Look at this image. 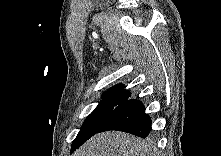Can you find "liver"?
Wrapping results in <instances>:
<instances>
[{
	"instance_id": "6515ba94",
	"label": "liver",
	"mask_w": 221,
	"mask_h": 156,
	"mask_svg": "<svg viewBox=\"0 0 221 156\" xmlns=\"http://www.w3.org/2000/svg\"><path fill=\"white\" fill-rule=\"evenodd\" d=\"M156 151L149 142L136 136L109 131L93 136L74 156H154Z\"/></svg>"
}]
</instances>
